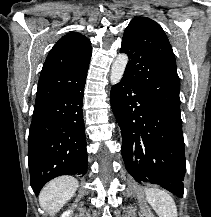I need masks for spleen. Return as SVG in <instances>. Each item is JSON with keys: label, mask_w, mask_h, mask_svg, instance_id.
Listing matches in <instances>:
<instances>
[{"label": "spleen", "mask_w": 211, "mask_h": 217, "mask_svg": "<svg viewBox=\"0 0 211 217\" xmlns=\"http://www.w3.org/2000/svg\"><path fill=\"white\" fill-rule=\"evenodd\" d=\"M146 199L159 217H177V207L173 198L165 191L150 188L146 190Z\"/></svg>", "instance_id": "1"}]
</instances>
